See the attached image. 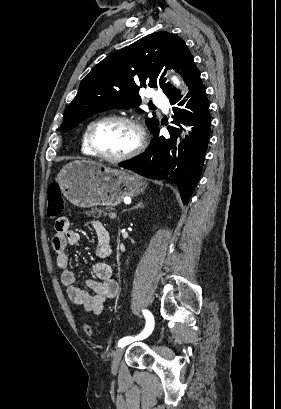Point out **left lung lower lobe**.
Returning <instances> with one entry per match:
<instances>
[{"instance_id":"1","label":"left lung lower lobe","mask_w":281,"mask_h":409,"mask_svg":"<svg viewBox=\"0 0 281 409\" xmlns=\"http://www.w3.org/2000/svg\"><path fill=\"white\" fill-rule=\"evenodd\" d=\"M191 97L187 108L193 113L179 108L185 100L181 101L180 93L169 99L173 105V124L181 127V123L194 126L189 137L175 148V136L180 129L168 127L170 138L159 136L156 128L154 138L148 149L131 161L120 164L121 167L130 169L140 175L152 179H167L178 186L183 204H188L190 195L196 187L203 168L205 153L210 137V111L206 89L201 81L200 72L196 69L188 83ZM189 115V116H188ZM182 128V127H181Z\"/></svg>"}]
</instances>
